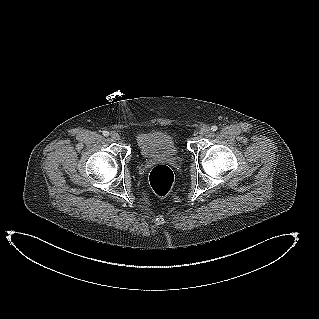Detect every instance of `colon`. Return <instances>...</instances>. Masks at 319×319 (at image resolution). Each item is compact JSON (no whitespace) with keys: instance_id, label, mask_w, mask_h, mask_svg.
Wrapping results in <instances>:
<instances>
[{"instance_id":"obj_1","label":"colon","mask_w":319,"mask_h":319,"mask_svg":"<svg viewBox=\"0 0 319 319\" xmlns=\"http://www.w3.org/2000/svg\"><path fill=\"white\" fill-rule=\"evenodd\" d=\"M149 183L156 195L167 196L173 187L174 173L166 165H157L149 174Z\"/></svg>"}]
</instances>
